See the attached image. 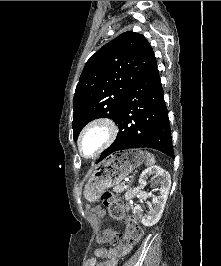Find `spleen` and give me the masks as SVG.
I'll return each mask as SVG.
<instances>
[{
  "mask_svg": "<svg viewBox=\"0 0 221 266\" xmlns=\"http://www.w3.org/2000/svg\"><path fill=\"white\" fill-rule=\"evenodd\" d=\"M154 163H155V159H154L153 155H151L150 153H147L146 165H152Z\"/></svg>",
  "mask_w": 221,
  "mask_h": 266,
  "instance_id": "spleen-1",
  "label": "spleen"
}]
</instances>
